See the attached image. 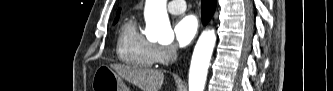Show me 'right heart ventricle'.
Masks as SVG:
<instances>
[{
	"label": "right heart ventricle",
	"mask_w": 333,
	"mask_h": 91,
	"mask_svg": "<svg viewBox=\"0 0 333 91\" xmlns=\"http://www.w3.org/2000/svg\"><path fill=\"white\" fill-rule=\"evenodd\" d=\"M154 47L140 33L134 18L123 21L117 38V54L122 62L136 68H149L155 63Z\"/></svg>",
	"instance_id": "right-heart-ventricle-1"
}]
</instances>
